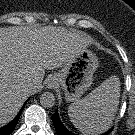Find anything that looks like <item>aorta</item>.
Wrapping results in <instances>:
<instances>
[{
	"label": "aorta",
	"instance_id": "obj_1",
	"mask_svg": "<svg viewBox=\"0 0 135 135\" xmlns=\"http://www.w3.org/2000/svg\"><path fill=\"white\" fill-rule=\"evenodd\" d=\"M40 104L45 108H51L55 105V96L51 92H44L40 97Z\"/></svg>",
	"mask_w": 135,
	"mask_h": 135
}]
</instances>
